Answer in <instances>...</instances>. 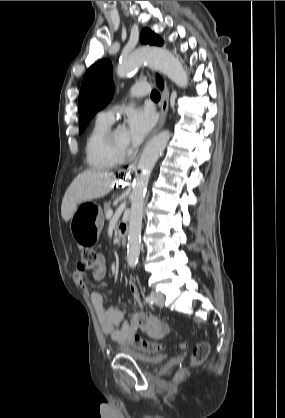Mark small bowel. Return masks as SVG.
<instances>
[{
	"label": "small bowel",
	"instance_id": "c3829d8e",
	"mask_svg": "<svg viewBox=\"0 0 285 418\" xmlns=\"http://www.w3.org/2000/svg\"><path fill=\"white\" fill-rule=\"evenodd\" d=\"M106 275L107 266L105 259L102 255H99L92 276L96 281H102ZM73 277L77 283L83 284L86 275L76 271ZM128 287L132 297L136 301H139L140 294L137 285L134 282H130ZM90 300L102 332L117 345H128L131 337L136 331H140L146 336L157 339L163 338L169 332L168 325L151 314L131 311L128 312V317L126 319L123 310L116 307L105 308L103 305V297L98 291L90 293Z\"/></svg>",
	"mask_w": 285,
	"mask_h": 418
}]
</instances>
